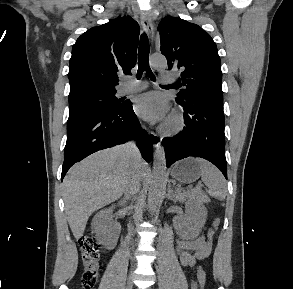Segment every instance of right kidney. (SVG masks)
<instances>
[{
	"label": "right kidney",
	"mask_w": 293,
	"mask_h": 289,
	"mask_svg": "<svg viewBox=\"0 0 293 289\" xmlns=\"http://www.w3.org/2000/svg\"><path fill=\"white\" fill-rule=\"evenodd\" d=\"M109 221L110 213L108 210H102L94 216L92 220V228L98 236H102L106 233Z\"/></svg>",
	"instance_id": "obj_1"
}]
</instances>
